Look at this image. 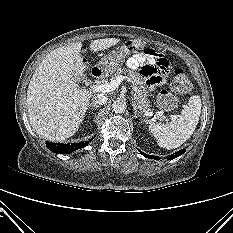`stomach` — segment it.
Segmentation results:
<instances>
[{
	"mask_svg": "<svg viewBox=\"0 0 233 233\" xmlns=\"http://www.w3.org/2000/svg\"><path fill=\"white\" fill-rule=\"evenodd\" d=\"M145 44L138 39H130L124 42L120 50L105 56L99 62L100 69L104 73H113L124 62L127 55L137 52L144 48Z\"/></svg>",
	"mask_w": 233,
	"mask_h": 233,
	"instance_id": "stomach-1",
	"label": "stomach"
}]
</instances>
